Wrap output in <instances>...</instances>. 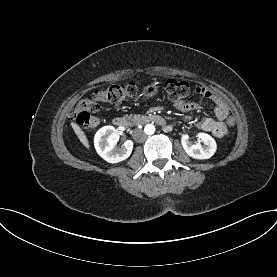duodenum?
Returning a JSON list of instances; mask_svg holds the SVG:
<instances>
[{"instance_id": "obj_1", "label": "duodenum", "mask_w": 277, "mask_h": 277, "mask_svg": "<svg viewBox=\"0 0 277 277\" xmlns=\"http://www.w3.org/2000/svg\"><path fill=\"white\" fill-rule=\"evenodd\" d=\"M112 123L114 126L118 128H125L135 123L137 124L156 123L161 125L163 129L167 132L172 130V127L169 124H167L161 116L156 114L141 115L133 119H128L125 117H115L112 120Z\"/></svg>"}]
</instances>
